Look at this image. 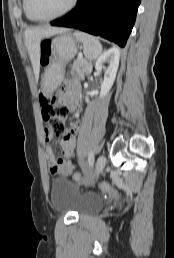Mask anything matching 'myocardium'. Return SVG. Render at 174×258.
Returning <instances> with one entry per match:
<instances>
[{"label": "myocardium", "instance_id": "f54148a6", "mask_svg": "<svg viewBox=\"0 0 174 258\" xmlns=\"http://www.w3.org/2000/svg\"><path fill=\"white\" fill-rule=\"evenodd\" d=\"M77 1L78 0H71L69 5L64 9L62 10L61 12L55 14V15H52V16H49V17H45V18H39V17H35L31 11H30V8H29V0H24V7H25V11L27 13V15L34 21H38V22H49V21H52V20H55V19H58L62 16H65L66 14H68L70 11L73 10V8L76 6L77 4Z\"/></svg>", "mask_w": 174, "mask_h": 258}]
</instances>
